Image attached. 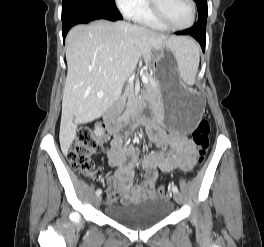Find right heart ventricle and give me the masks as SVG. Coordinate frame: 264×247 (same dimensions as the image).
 I'll return each mask as SVG.
<instances>
[{"label":"right heart ventricle","mask_w":264,"mask_h":247,"mask_svg":"<svg viewBox=\"0 0 264 247\" xmlns=\"http://www.w3.org/2000/svg\"><path fill=\"white\" fill-rule=\"evenodd\" d=\"M132 18L135 22L147 26L149 28L157 29V30H165L159 22H157L154 17L151 15L149 10L148 2L139 8L133 15Z\"/></svg>","instance_id":"e07e8e85"}]
</instances>
